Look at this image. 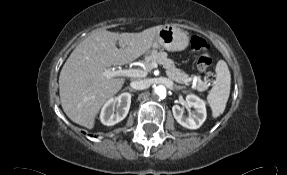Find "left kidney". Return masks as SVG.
I'll use <instances>...</instances> for the list:
<instances>
[{"mask_svg": "<svg viewBox=\"0 0 287 175\" xmlns=\"http://www.w3.org/2000/svg\"><path fill=\"white\" fill-rule=\"evenodd\" d=\"M186 104L189 108L193 107L194 111L189 116L184 115V109L179 105L172 107L173 116L176 121L185 128L197 129L206 120V107L205 102L194 94L187 95Z\"/></svg>", "mask_w": 287, "mask_h": 175, "instance_id": "left-kidney-1", "label": "left kidney"}]
</instances>
